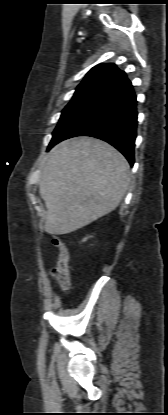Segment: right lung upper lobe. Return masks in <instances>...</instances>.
<instances>
[{"label":"right lung upper lobe","instance_id":"cb5924a9","mask_svg":"<svg viewBox=\"0 0 168 415\" xmlns=\"http://www.w3.org/2000/svg\"><path fill=\"white\" fill-rule=\"evenodd\" d=\"M126 77L114 64H98L93 67L76 88L75 93L92 92L101 94L107 88Z\"/></svg>","mask_w":168,"mask_h":415}]
</instances>
